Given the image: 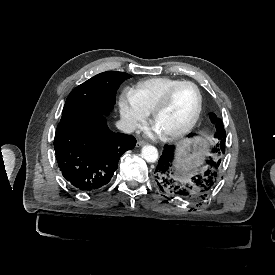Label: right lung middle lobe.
Returning a JSON list of instances; mask_svg holds the SVG:
<instances>
[{
    "mask_svg": "<svg viewBox=\"0 0 275 275\" xmlns=\"http://www.w3.org/2000/svg\"><path fill=\"white\" fill-rule=\"evenodd\" d=\"M131 76L124 72L100 73L77 86L67 97L63 112L85 110L106 113L115 104L116 90Z\"/></svg>",
    "mask_w": 275,
    "mask_h": 275,
    "instance_id": "1",
    "label": "right lung middle lobe"
}]
</instances>
